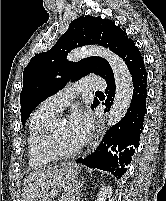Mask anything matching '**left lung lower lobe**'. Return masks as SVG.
<instances>
[{"label":"left lung lower lobe","instance_id":"obj_1","mask_svg":"<svg viewBox=\"0 0 166 201\" xmlns=\"http://www.w3.org/2000/svg\"><path fill=\"white\" fill-rule=\"evenodd\" d=\"M124 60L132 75L134 87L130 107L124 118L106 132L94 153L85 159L76 160L77 163L90 168L109 171L118 179L127 171L131 156L138 147L140 133L143 130L147 98V72L143 57L134 43L127 50ZM105 80L107 99L103 104L109 108L115 91L113 74Z\"/></svg>","mask_w":166,"mask_h":201}]
</instances>
